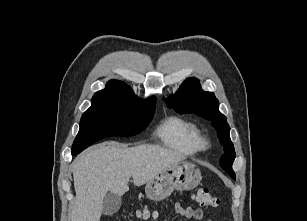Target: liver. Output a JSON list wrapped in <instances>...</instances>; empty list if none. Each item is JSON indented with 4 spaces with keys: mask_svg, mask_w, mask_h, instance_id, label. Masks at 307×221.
Here are the masks:
<instances>
[{
    "mask_svg": "<svg viewBox=\"0 0 307 221\" xmlns=\"http://www.w3.org/2000/svg\"><path fill=\"white\" fill-rule=\"evenodd\" d=\"M184 159L179 152L150 144L126 147L103 143L89 148L72 164L76 192L72 221H99L108 192L121 197L129 190L130 177L135 186H141Z\"/></svg>",
    "mask_w": 307,
    "mask_h": 221,
    "instance_id": "liver-1",
    "label": "liver"
}]
</instances>
